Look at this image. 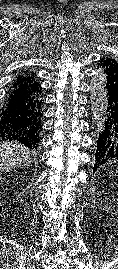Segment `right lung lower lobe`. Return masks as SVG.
I'll return each instance as SVG.
<instances>
[{
    "instance_id": "right-lung-lower-lobe-1",
    "label": "right lung lower lobe",
    "mask_w": 118,
    "mask_h": 269,
    "mask_svg": "<svg viewBox=\"0 0 118 269\" xmlns=\"http://www.w3.org/2000/svg\"><path fill=\"white\" fill-rule=\"evenodd\" d=\"M40 84L13 85L0 114V138L17 140L31 149H37L41 118H37V97Z\"/></svg>"
}]
</instances>
